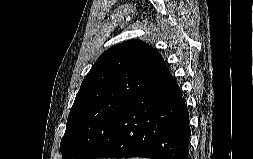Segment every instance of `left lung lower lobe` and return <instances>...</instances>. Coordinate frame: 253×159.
Here are the masks:
<instances>
[{
    "label": "left lung lower lobe",
    "instance_id": "1",
    "mask_svg": "<svg viewBox=\"0 0 253 159\" xmlns=\"http://www.w3.org/2000/svg\"><path fill=\"white\" fill-rule=\"evenodd\" d=\"M189 113L166 68L123 109L94 158L188 159Z\"/></svg>",
    "mask_w": 253,
    "mask_h": 159
}]
</instances>
